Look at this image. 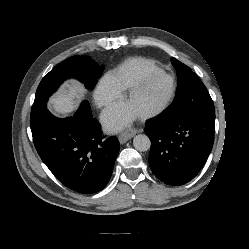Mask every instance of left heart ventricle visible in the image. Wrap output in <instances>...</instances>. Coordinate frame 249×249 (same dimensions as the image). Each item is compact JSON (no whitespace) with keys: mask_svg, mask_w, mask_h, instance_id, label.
Here are the masks:
<instances>
[{"mask_svg":"<svg viewBox=\"0 0 249 249\" xmlns=\"http://www.w3.org/2000/svg\"><path fill=\"white\" fill-rule=\"evenodd\" d=\"M170 90V80L157 79L127 100L126 105L136 115H140L160 106L168 97Z\"/></svg>","mask_w":249,"mask_h":249,"instance_id":"left-heart-ventricle-1","label":"left heart ventricle"}]
</instances>
